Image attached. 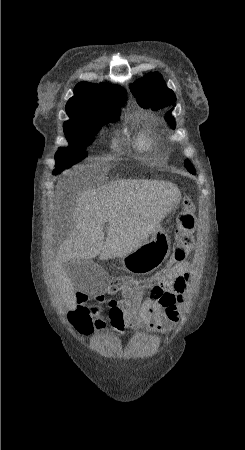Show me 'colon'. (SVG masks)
<instances>
[{"instance_id":"1","label":"colon","mask_w":245,"mask_h":450,"mask_svg":"<svg viewBox=\"0 0 245 450\" xmlns=\"http://www.w3.org/2000/svg\"><path fill=\"white\" fill-rule=\"evenodd\" d=\"M196 229L195 206L191 196H184L181 201V210L177 217L175 230V243L173 252L169 260L168 267H173L184 263L194 245V233ZM147 278L132 276H115L111 281V286L116 290H132L141 288ZM77 300H88L89 296L77 293ZM96 309L80 304L69 318L72 329L79 334L90 333L95 326L94 315Z\"/></svg>"}]
</instances>
